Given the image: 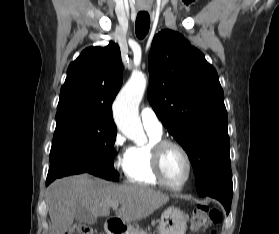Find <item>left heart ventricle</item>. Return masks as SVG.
<instances>
[{"label":"left heart ventricle","instance_id":"b2bd125f","mask_svg":"<svg viewBox=\"0 0 279 234\" xmlns=\"http://www.w3.org/2000/svg\"><path fill=\"white\" fill-rule=\"evenodd\" d=\"M163 171L166 179L172 184L181 183L187 174L185 158L179 150L170 147L163 158Z\"/></svg>","mask_w":279,"mask_h":234}]
</instances>
